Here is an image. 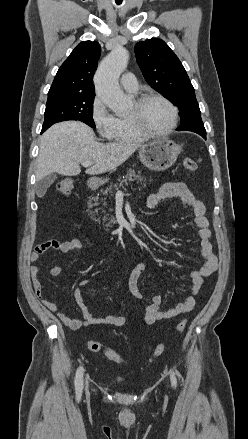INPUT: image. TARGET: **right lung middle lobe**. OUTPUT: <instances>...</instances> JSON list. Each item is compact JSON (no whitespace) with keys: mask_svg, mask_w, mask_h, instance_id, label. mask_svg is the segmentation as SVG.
<instances>
[{"mask_svg":"<svg viewBox=\"0 0 248 439\" xmlns=\"http://www.w3.org/2000/svg\"><path fill=\"white\" fill-rule=\"evenodd\" d=\"M94 96L93 93L48 96L42 129H48L51 125L66 120H79L95 128L92 109Z\"/></svg>","mask_w":248,"mask_h":439,"instance_id":"1","label":"right lung middle lobe"}]
</instances>
